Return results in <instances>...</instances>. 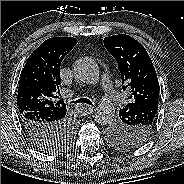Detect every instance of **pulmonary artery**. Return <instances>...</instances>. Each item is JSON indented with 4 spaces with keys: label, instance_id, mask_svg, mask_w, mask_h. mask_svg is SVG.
Here are the masks:
<instances>
[{
    "label": "pulmonary artery",
    "instance_id": "obj_1",
    "mask_svg": "<svg viewBox=\"0 0 184 184\" xmlns=\"http://www.w3.org/2000/svg\"><path fill=\"white\" fill-rule=\"evenodd\" d=\"M101 82H102V87L103 89L107 92L108 96L110 98L113 99H117L120 102H123L122 97L120 96V94H118L117 92H115L112 89V85H111V81H110V77L108 74H103L101 77Z\"/></svg>",
    "mask_w": 184,
    "mask_h": 184
}]
</instances>
